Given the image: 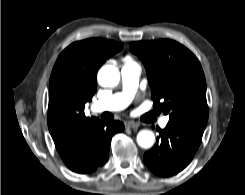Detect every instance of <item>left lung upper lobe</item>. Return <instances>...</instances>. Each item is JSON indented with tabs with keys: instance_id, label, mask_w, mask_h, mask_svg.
I'll use <instances>...</instances> for the list:
<instances>
[{
	"instance_id": "5c2ea615",
	"label": "left lung upper lobe",
	"mask_w": 245,
	"mask_h": 195,
	"mask_svg": "<svg viewBox=\"0 0 245 195\" xmlns=\"http://www.w3.org/2000/svg\"><path fill=\"white\" fill-rule=\"evenodd\" d=\"M129 47L145 65L154 107L169 114V121L204 130L208 120L206 81L196 56L168 39L131 42Z\"/></svg>"
}]
</instances>
